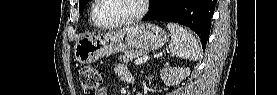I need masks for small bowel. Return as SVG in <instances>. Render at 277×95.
Returning <instances> with one entry per match:
<instances>
[{"instance_id": "c3829d8e", "label": "small bowel", "mask_w": 277, "mask_h": 95, "mask_svg": "<svg viewBox=\"0 0 277 95\" xmlns=\"http://www.w3.org/2000/svg\"><path fill=\"white\" fill-rule=\"evenodd\" d=\"M115 73L120 76L122 79L126 80V81H131V77L128 74V71L126 69V67L123 64H118L115 67ZM99 95H107V89L105 87H102L99 90Z\"/></svg>"}]
</instances>
